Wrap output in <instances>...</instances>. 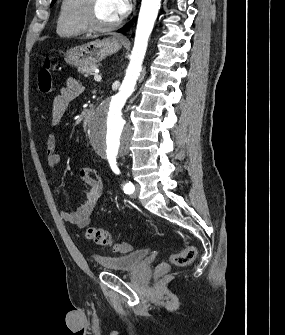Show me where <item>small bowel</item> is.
<instances>
[{"label":"small bowel","mask_w":285,"mask_h":335,"mask_svg":"<svg viewBox=\"0 0 285 335\" xmlns=\"http://www.w3.org/2000/svg\"><path fill=\"white\" fill-rule=\"evenodd\" d=\"M82 85L74 79H69L66 86L54 98L51 109V125L54 127L62 120L68 105L76 99L82 92ZM45 151L49 168L56 169L61 164V157L56 152V134L51 131L45 141ZM82 176L89 182L90 188L85 200L80 206L72 211L62 210L60 215L66 222L74 224L79 228L87 226L91 215L98 203L105 195V185L102 179L91 169H84Z\"/></svg>","instance_id":"c3829d8e"}]
</instances>
